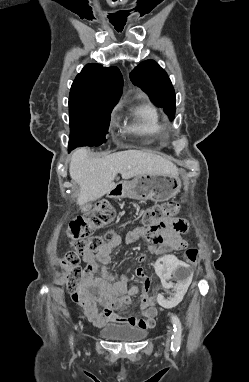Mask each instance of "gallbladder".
I'll use <instances>...</instances> for the list:
<instances>
[{
	"instance_id": "obj_1",
	"label": "gallbladder",
	"mask_w": 249,
	"mask_h": 382,
	"mask_svg": "<svg viewBox=\"0 0 249 382\" xmlns=\"http://www.w3.org/2000/svg\"><path fill=\"white\" fill-rule=\"evenodd\" d=\"M91 208H92L91 203H86V204H84V205L82 206V211H83V212H87V211H89Z\"/></svg>"
}]
</instances>
